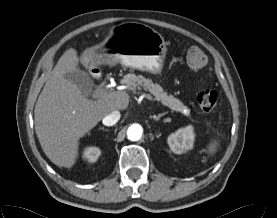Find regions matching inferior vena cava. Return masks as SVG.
<instances>
[{
  "mask_svg": "<svg viewBox=\"0 0 277 218\" xmlns=\"http://www.w3.org/2000/svg\"><path fill=\"white\" fill-rule=\"evenodd\" d=\"M120 116V112L118 110H114L103 118L102 123L105 126H113L119 121Z\"/></svg>",
  "mask_w": 277,
  "mask_h": 218,
  "instance_id": "1",
  "label": "inferior vena cava"
}]
</instances>
